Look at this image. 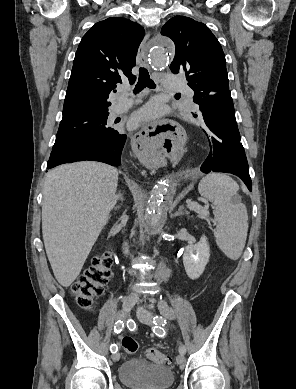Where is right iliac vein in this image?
I'll return each mask as SVG.
<instances>
[{"label": "right iliac vein", "instance_id": "obj_1", "mask_svg": "<svg viewBox=\"0 0 296 389\" xmlns=\"http://www.w3.org/2000/svg\"><path fill=\"white\" fill-rule=\"evenodd\" d=\"M136 300H137V298L134 294H129L123 298V303H122V307H123L122 316H123V318H126L128 316L129 312L131 311L134 304L136 303ZM119 359H120V353L116 352L112 355L113 361L117 362V361H119Z\"/></svg>", "mask_w": 296, "mask_h": 389}]
</instances>
